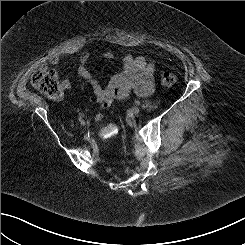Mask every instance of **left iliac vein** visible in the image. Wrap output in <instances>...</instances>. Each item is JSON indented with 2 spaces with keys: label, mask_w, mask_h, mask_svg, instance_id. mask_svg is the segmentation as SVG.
Masks as SVG:
<instances>
[{
  "label": "left iliac vein",
  "mask_w": 245,
  "mask_h": 245,
  "mask_svg": "<svg viewBox=\"0 0 245 245\" xmlns=\"http://www.w3.org/2000/svg\"><path fill=\"white\" fill-rule=\"evenodd\" d=\"M131 112L135 115L139 114L140 113V108L139 107H133L131 109Z\"/></svg>",
  "instance_id": "left-iliac-vein-1"
}]
</instances>
